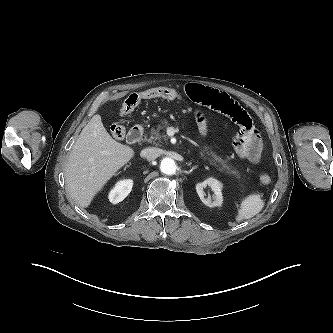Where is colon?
Masks as SVG:
<instances>
[{
    "label": "colon",
    "instance_id": "colon-1",
    "mask_svg": "<svg viewBox=\"0 0 333 333\" xmlns=\"http://www.w3.org/2000/svg\"><path fill=\"white\" fill-rule=\"evenodd\" d=\"M183 93L171 88L157 87L150 88L137 93L129 94L123 101L119 110L120 116L131 113L143 99L164 98L173 100L182 97ZM111 134L116 139H122L125 136V128L120 123H114L110 127ZM260 182L267 185L271 182L268 174H262L259 178Z\"/></svg>",
    "mask_w": 333,
    "mask_h": 333
}]
</instances>
